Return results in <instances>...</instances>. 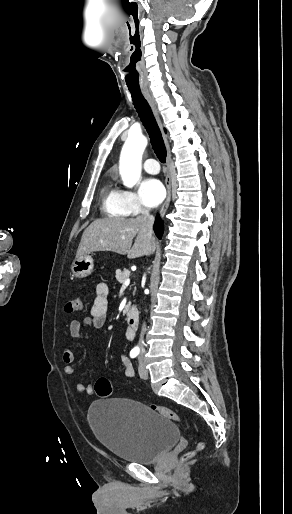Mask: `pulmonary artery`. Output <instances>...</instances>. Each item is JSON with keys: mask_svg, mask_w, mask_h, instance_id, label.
Returning a JSON list of instances; mask_svg holds the SVG:
<instances>
[{"mask_svg": "<svg viewBox=\"0 0 292 514\" xmlns=\"http://www.w3.org/2000/svg\"><path fill=\"white\" fill-rule=\"evenodd\" d=\"M139 152V150H137ZM158 169L157 159L155 157H150L145 165V170L148 173H156V170Z\"/></svg>", "mask_w": 292, "mask_h": 514, "instance_id": "e3ab8cb5", "label": "pulmonary artery"}]
</instances>
